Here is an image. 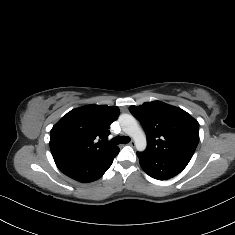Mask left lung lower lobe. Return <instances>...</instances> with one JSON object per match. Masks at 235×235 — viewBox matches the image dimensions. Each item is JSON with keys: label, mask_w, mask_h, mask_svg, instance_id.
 I'll use <instances>...</instances> for the list:
<instances>
[{"label": "left lung lower lobe", "mask_w": 235, "mask_h": 235, "mask_svg": "<svg viewBox=\"0 0 235 235\" xmlns=\"http://www.w3.org/2000/svg\"><path fill=\"white\" fill-rule=\"evenodd\" d=\"M142 169L152 178L158 180L170 179L187 166L188 163L175 158L154 155L147 151L137 152Z\"/></svg>", "instance_id": "1"}]
</instances>
